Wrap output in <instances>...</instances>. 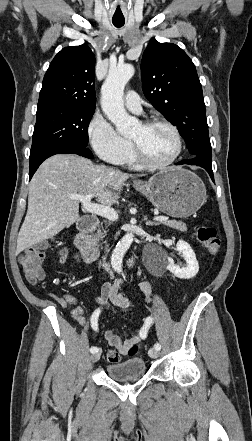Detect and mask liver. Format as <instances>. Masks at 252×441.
<instances>
[{
	"label": "liver",
	"instance_id": "6515ba94",
	"mask_svg": "<svg viewBox=\"0 0 252 441\" xmlns=\"http://www.w3.org/2000/svg\"><path fill=\"white\" fill-rule=\"evenodd\" d=\"M129 177L128 173L95 165L74 154H58L45 160L29 185L28 209L17 237L16 253L54 237L79 220L80 201L71 195L92 194L101 205L110 207L119 199Z\"/></svg>",
	"mask_w": 252,
	"mask_h": 441
}]
</instances>
